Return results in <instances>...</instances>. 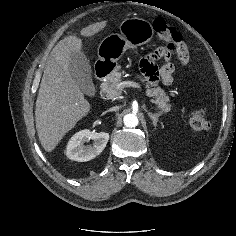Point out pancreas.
<instances>
[{
    "instance_id": "obj_1",
    "label": "pancreas",
    "mask_w": 236,
    "mask_h": 236,
    "mask_svg": "<svg viewBox=\"0 0 236 236\" xmlns=\"http://www.w3.org/2000/svg\"><path fill=\"white\" fill-rule=\"evenodd\" d=\"M120 70L121 67L118 66L106 77V81L101 84V91L106 95L107 99H117L123 90V88L117 87L118 83L121 82L122 76L125 74V70ZM137 78L142 82L148 81V78H142L139 75ZM155 86V88H151L150 84L146 82V87L148 88L146 94L149 97H154L151 102L156 104L161 112L167 113L171 110V105L168 103L170 100L169 96L164 89L157 84Z\"/></svg>"
}]
</instances>
